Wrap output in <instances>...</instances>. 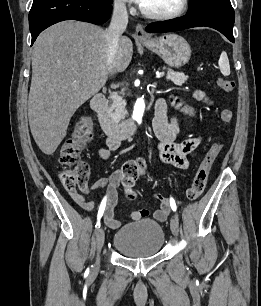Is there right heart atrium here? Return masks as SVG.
Returning a JSON list of instances; mask_svg holds the SVG:
<instances>
[{
  "label": "right heart atrium",
  "mask_w": 261,
  "mask_h": 306,
  "mask_svg": "<svg viewBox=\"0 0 261 306\" xmlns=\"http://www.w3.org/2000/svg\"><path fill=\"white\" fill-rule=\"evenodd\" d=\"M114 9L117 12L123 13L127 9L126 0H113Z\"/></svg>",
  "instance_id": "d8ad5b80"
}]
</instances>
